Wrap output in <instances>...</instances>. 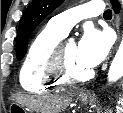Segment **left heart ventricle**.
Wrapping results in <instances>:
<instances>
[{
	"label": "left heart ventricle",
	"instance_id": "obj_1",
	"mask_svg": "<svg viewBox=\"0 0 123 113\" xmlns=\"http://www.w3.org/2000/svg\"><path fill=\"white\" fill-rule=\"evenodd\" d=\"M65 59L71 72L75 75H84L89 69L79 63L77 59V46L67 42L65 46Z\"/></svg>",
	"mask_w": 123,
	"mask_h": 113
}]
</instances>
